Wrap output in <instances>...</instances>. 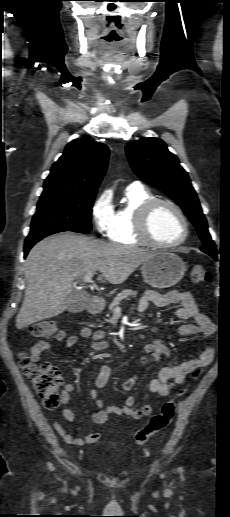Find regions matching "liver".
Wrapping results in <instances>:
<instances>
[{"mask_svg": "<svg viewBox=\"0 0 230 517\" xmlns=\"http://www.w3.org/2000/svg\"><path fill=\"white\" fill-rule=\"evenodd\" d=\"M153 253L68 232L43 239L24 264L26 289L17 329L63 313L74 280L99 271L98 280L121 284Z\"/></svg>", "mask_w": 230, "mask_h": 517, "instance_id": "6515ba94", "label": "liver"}]
</instances>
